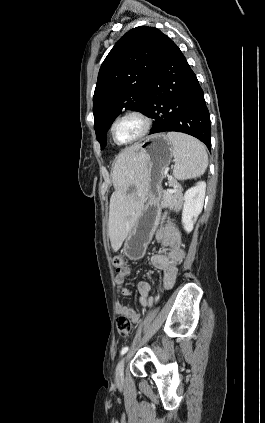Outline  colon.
<instances>
[{
  "label": "colon",
  "instance_id": "obj_1",
  "mask_svg": "<svg viewBox=\"0 0 265 423\" xmlns=\"http://www.w3.org/2000/svg\"><path fill=\"white\" fill-rule=\"evenodd\" d=\"M124 258L121 255H117L113 259V264L116 269H120L124 266ZM116 327L118 334L123 337H127L132 332V325L129 318L126 315H120L116 320Z\"/></svg>",
  "mask_w": 265,
  "mask_h": 423
}]
</instances>
